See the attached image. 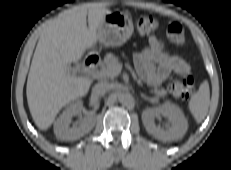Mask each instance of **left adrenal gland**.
<instances>
[{
	"label": "left adrenal gland",
	"mask_w": 231,
	"mask_h": 170,
	"mask_svg": "<svg viewBox=\"0 0 231 170\" xmlns=\"http://www.w3.org/2000/svg\"><path fill=\"white\" fill-rule=\"evenodd\" d=\"M140 96L145 100L151 101V99L147 97L146 95H144L143 93H141Z\"/></svg>",
	"instance_id": "left-adrenal-gland-1"
}]
</instances>
